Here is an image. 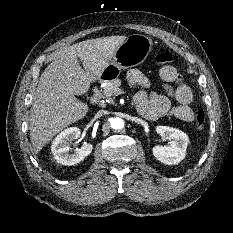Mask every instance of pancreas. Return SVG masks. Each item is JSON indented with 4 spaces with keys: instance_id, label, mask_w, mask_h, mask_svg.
Masks as SVG:
<instances>
[{
    "instance_id": "1",
    "label": "pancreas",
    "mask_w": 233,
    "mask_h": 233,
    "mask_svg": "<svg viewBox=\"0 0 233 233\" xmlns=\"http://www.w3.org/2000/svg\"><path fill=\"white\" fill-rule=\"evenodd\" d=\"M121 81L119 79H114L108 81L103 88V97L107 99H111L112 96L119 95L121 89Z\"/></svg>"
}]
</instances>
